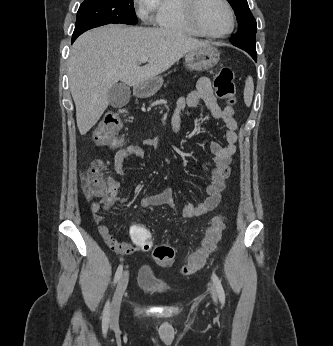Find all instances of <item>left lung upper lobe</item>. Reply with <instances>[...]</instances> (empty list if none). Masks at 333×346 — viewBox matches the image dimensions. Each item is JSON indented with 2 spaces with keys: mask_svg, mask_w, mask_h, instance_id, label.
Segmentation results:
<instances>
[{
  "mask_svg": "<svg viewBox=\"0 0 333 346\" xmlns=\"http://www.w3.org/2000/svg\"><path fill=\"white\" fill-rule=\"evenodd\" d=\"M227 1L234 9L239 24L238 31L231 37V43L245 50L252 57L257 56L255 48L257 23L249 9L247 0Z\"/></svg>",
  "mask_w": 333,
  "mask_h": 346,
  "instance_id": "obj_1",
  "label": "left lung upper lobe"
}]
</instances>
